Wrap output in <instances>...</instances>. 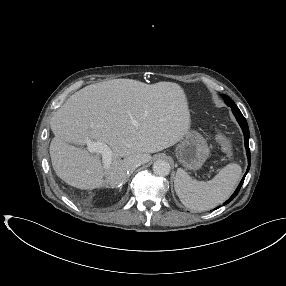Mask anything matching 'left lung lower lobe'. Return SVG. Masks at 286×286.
Here are the masks:
<instances>
[{
	"label": "left lung lower lobe",
	"instance_id": "obj_1",
	"mask_svg": "<svg viewBox=\"0 0 286 286\" xmlns=\"http://www.w3.org/2000/svg\"><path fill=\"white\" fill-rule=\"evenodd\" d=\"M232 112L235 115L239 125L242 128L243 134H244L245 148H246V153H247V158H248V167H247V171H246L243 179L241 180L240 184L238 185L237 189L235 190L233 195L226 202L223 203V205H226L227 203L231 202L236 197V195L238 194V192H239V190H240V188L244 182L245 176L250 169V162H251V155H250V149H249V128H248L247 121L239 109L233 108ZM219 207H217V208H219Z\"/></svg>",
	"mask_w": 286,
	"mask_h": 286
}]
</instances>
